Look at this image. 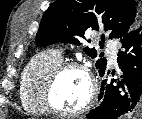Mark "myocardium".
I'll list each match as a JSON object with an SVG mask.
<instances>
[{"label":"myocardium","instance_id":"obj_1","mask_svg":"<svg viewBox=\"0 0 142 119\" xmlns=\"http://www.w3.org/2000/svg\"><path fill=\"white\" fill-rule=\"evenodd\" d=\"M69 70H79L86 76L89 84V94L86 101L81 107L73 111H64L56 106L53 99V93L60 77ZM96 96L97 82L93 72L87 65L77 61H65L60 63L48 76L42 93L43 102L48 112L64 117L78 116L86 112L94 104Z\"/></svg>","mask_w":142,"mask_h":119}]
</instances>
